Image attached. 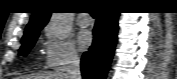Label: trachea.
<instances>
[{"label":"trachea","instance_id":"3493384b","mask_svg":"<svg viewBox=\"0 0 177 79\" xmlns=\"http://www.w3.org/2000/svg\"><path fill=\"white\" fill-rule=\"evenodd\" d=\"M91 15H92V17H96V13H92Z\"/></svg>","mask_w":177,"mask_h":79}]
</instances>
